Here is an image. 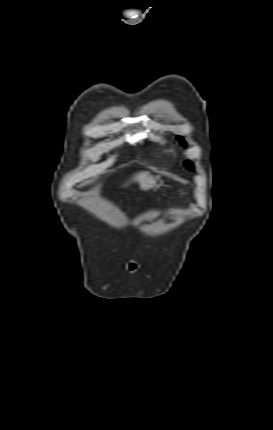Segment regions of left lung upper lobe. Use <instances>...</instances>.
I'll return each instance as SVG.
<instances>
[{"mask_svg": "<svg viewBox=\"0 0 273 430\" xmlns=\"http://www.w3.org/2000/svg\"><path fill=\"white\" fill-rule=\"evenodd\" d=\"M177 139H179L180 140V143L181 144H183V145H185V142H184V140L181 138V137H177ZM185 166L187 167V169H189V170H194V166H193V164L192 163H190V162H186L185 163Z\"/></svg>", "mask_w": 273, "mask_h": 430, "instance_id": "1", "label": "left lung upper lobe"}]
</instances>
